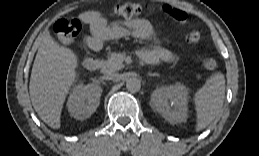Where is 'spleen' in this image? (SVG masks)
Returning <instances> with one entry per match:
<instances>
[{
	"label": "spleen",
	"instance_id": "1",
	"mask_svg": "<svg viewBox=\"0 0 259 156\" xmlns=\"http://www.w3.org/2000/svg\"><path fill=\"white\" fill-rule=\"evenodd\" d=\"M225 98V78L221 72L212 74L194 95L197 113L196 130L208 126L219 114Z\"/></svg>",
	"mask_w": 259,
	"mask_h": 156
}]
</instances>
